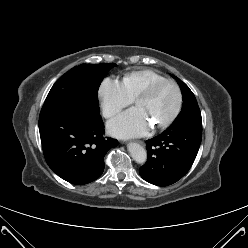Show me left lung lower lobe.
Returning a JSON list of instances; mask_svg holds the SVG:
<instances>
[{
  "mask_svg": "<svg viewBox=\"0 0 248 248\" xmlns=\"http://www.w3.org/2000/svg\"><path fill=\"white\" fill-rule=\"evenodd\" d=\"M202 139V127L167 128L146 141L147 162L139 169L141 177L157 186L181 179L192 166Z\"/></svg>",
  "mask_w": 248,
  "mask_h": 248,
  "instance_id": "left-lung-lower-lobe-1",
  "label": "left lung lower lobe"
}]
</instances>
